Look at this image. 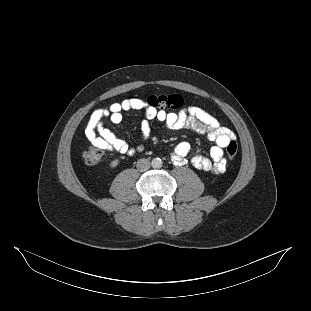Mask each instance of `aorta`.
Segmentation results:
<instances>
[{
  "mask_svg": "<svg viewBox=\"0 0 311 311\" xmlns=\"http://www.w3.org/2000/svg\"><path fill=\"white\" fill-rule=\"evenodd\" d=\"M151 165L155 169L160 168L162 166V160L160 158H154L152 159Z\"/></svg>",
  "mask_w": 311,
  "mask_h": 311,
  "instance_id": "obj_1",
  "label": "aorta"
}]
</instances>
